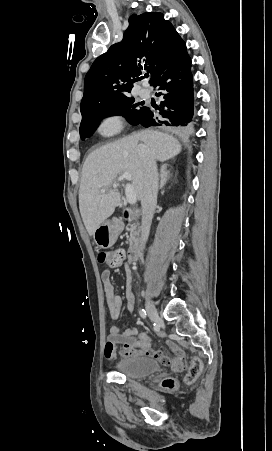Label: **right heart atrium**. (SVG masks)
<instances>
[{"instance_id":"d8ad5b80","label":"right heart atrium","mask_w":272,"mask_h":451,"mask_svg":"<svg viewBox=\"0 0 272 451\" xmlns=\"http://www.w3.org/2000/svg\"><path fill=\"white\" fill-rule=\"evenodd\" d=\"M120 124V121L117 118H111L107 120L101 127L102 132L109 133L115 130Z\"/></svg>"}]
</instances>
